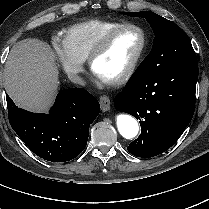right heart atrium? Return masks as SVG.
<instances>
[{"label": "right heart atrium", "instance_id": "obj_1", "mask_svg": "<svg viewBox=\"0 0 209 209\" xmlns=\"http://www.w3.org/2000/svg\"><path fill=\"white\" fill-rule=\"evenodd\" d=\"M53 47L64 72L70 77L77 78L82 71V61L74 57L65 42L57 37L53 38Z\"/></svg>", "mask_w": 209, "mask_h": 209}]
</instances>
